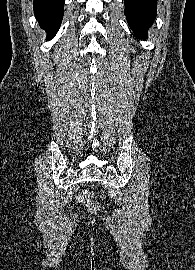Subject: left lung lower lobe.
I'll list each match as a JSON object with an SVG mask.
<instances>
[{"instance_id": "1", "label": "left lung lower lobe", "mask_w": 195, "mask_h": 270, "mask_svg": "<svg viewBox=\"0 0 195 270\" xmlns=\"http://www.w3.org/2000/svg\"><path fill=\"white\" fill-rule=\"evenodd\" d=\"M130 28L139 39H147V29L156 17L157 0H124Z\"/></svg>"}]
</instances>
